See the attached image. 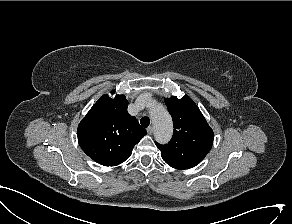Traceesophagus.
Segmentation results:
<instances>
[{
    "label": "esophagus",
    "mask_w": 292,
    "mask_h": 224,
    "mask_svg": "<svg viewBox=\"0 0 292 224\" xmlns=\"http://www.w3.org/2000/svg\"><path fill=\"white\" fill-rule=\"evenodd\" d=\"M153 131H154V129H153L152 126H150V127L147 128V132H148L149 135H152L153 134Z\"/></svg>",
    "instance_id": "obj_1"
}]
</instances>
